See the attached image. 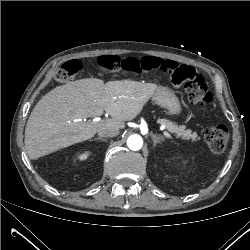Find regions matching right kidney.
Wrapping results in <instances>:
<instances>
[{
  "instance_id": "1",
  "label": "right kidney",
  "mask_w": 250,
  "mask_h": 250,
  "mask_svg": "<svg viewBox=\"0 0 250 250\" xmlns=\"http://www.w3.org/2000/svg\"><path fill=\"white\" fill-rule=\"evenodd\" d=\"M88 158V153H83V154H81L80 156H79V159L80 160H85V159H87Z\"/></svg>"
}]
</instances>
